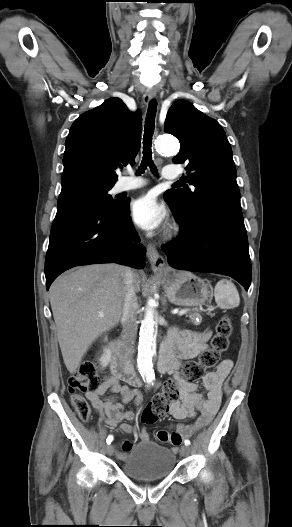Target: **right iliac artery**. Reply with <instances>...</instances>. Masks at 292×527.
I'll list each match as a JSON object with an SVG mask.
<instances>
[{
    "instance_id": "right-iliac-artery-1",
    "label": "right iliac artery",
    "mask_w": 292,
    "mask_h": 527,
    "mask_svg": "<svg viewBox=\"0 0 292 527\" xmlns=\"http://www.w3.org/2000/svg\"><path fill=\"white\" fill-rule=\"evenodd\" d=\"M113 435H109L106 439L107 444H110L113 441Z\"/></svg>"
}]
</instances>
